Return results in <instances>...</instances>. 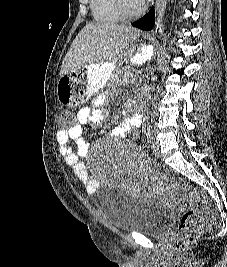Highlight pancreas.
<instances>
[{"instance_id":"1","label":"pancreas","mask_w":227,"mask_h":267,"mask_svg":"<svg viewBox=\"0 0 227 267\" xmlns=\"http://www.w3.org/2000/svg\"><path fill=\"white\" fill-rule=\"evenodd\" d=\"M136 81L134 73L126 68L118 70L110 79L111 86H119L125 83H133Z\"/></svg>"}]
</instances>
